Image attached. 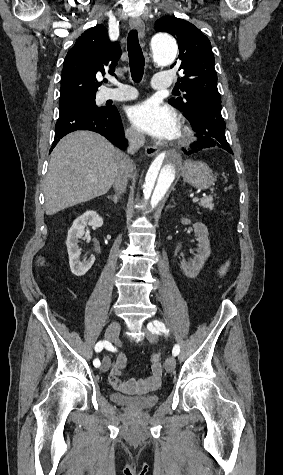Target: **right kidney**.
<instances>
[{
  "label": "right kidney",
  "mask_w": 283,
  "mask_h": 475,
  "mask_svg": "<svg viewBox=\"0 0 283 475\" xmlns=\"http://www.w3.org/2000/svg\"><path fill=\"white\" fill-rule=\"evenodd\" d=\"M86 226H92V228H101L103 226V218L98 216L97 212H85L79 218L74 220L70 230H68V236L66 239V245L69 255L70 269L75 275H85L86 271L90 269L95 261V255H91L89 259H83L81 261L79 255L78 239L84 236V230Z\"/></svg>",
  "instance_id": "obj_1"
}]
</instances>
